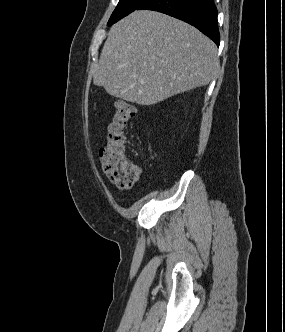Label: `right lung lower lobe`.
Masks as SVG:
<instances>
[{"instance_id":"1","label":"right lung lower lobe","mask_w":285,"mask_h":332,"mask_svg":"<svg viewBox=\"0 0 285 332\" xmlns=\"http://www.w3.org/2000/svg\"><path fill=\"white\" fill-rule=\"evenodd\" d=\"M154 10L183 20L220 43L217 9L213 0H147L136 10Z\"/></svg>"}]
</instances>
